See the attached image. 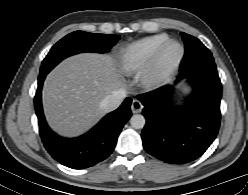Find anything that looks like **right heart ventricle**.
Returning a JSON list of instances; mask_svg holds the SVG:
<instances>
[{
  "label": "right heart ventricle",
  "instance_id": "e07e8e85",
  "mask_svg": "<svg viewBox=\"0 0 248 195\" xmlns=\"http://www.w3.org/2000/svg\"><path fill=\"white\" fill-rule=\"evenodd\" d=\"M169 39L165 33L144 37L123 47L119 52V64L128 74L144 71L158 49Z\"/></svg>",
  "mask_w": 248,
  "mask_h": 195
}]
</instances>
